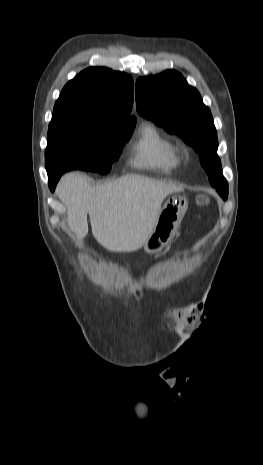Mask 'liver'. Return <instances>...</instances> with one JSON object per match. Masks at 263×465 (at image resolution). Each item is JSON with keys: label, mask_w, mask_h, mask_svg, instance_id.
I'll return each mask as SVG.
<instances>
[{"label": "liver", "mask_w": 263, "mask_h": 465, "mask_svg": "<svg viewBox=\"0 0 263 465\" xmlns=\"http://www.w3.org/2000/svg\"><path fill=\"white\" fill-rule=\"evenodd\" d=\"M183 187L141 175H125L93 187L80 173L62 177L57 187L60 201L67 207V221L78 239L92 234L112 252H134L146 242L160 213L164 199Z\"/></svg>", "instance_id": "1"}]
</instances>
